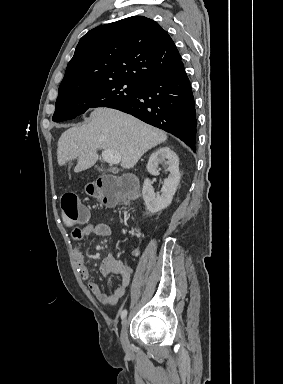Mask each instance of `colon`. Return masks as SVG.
I'll return each instance as SVG.
<instances>
[{"mask_svg": "<svg viewBox=\"0 0 283 384\" xmlns=\"http://www.w3.org/2000/svg\"><path fill=\"white\" fill-rule=\"evenodd\" d=\"M133 188L131 178L105 176L88 184L86 191L104 205L114 206L124 201ZM62 220L66 227L72 228L88 220V211L79 204L74 193H66L61 199Z\"/></svg>", "mask_w": 283, "mask_h": 384, "instance_id": "5ec220e1", "label": "colon"}]
</instances>
